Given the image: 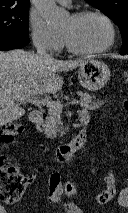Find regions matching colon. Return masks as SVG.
Returning <instances> with one entry per match:
<instances>
[{"mask_svg":"<svg viewBox=\"0 0 128 213\" xmlns=\"http://www.w3.org/2000/svg\"><path fill=\"white\" fill-rule=\"evenodd\" d=\"M125 82L128 84V71L124 73ZM124 108L128 110V99L124 101ZM23 125L19 123H7L0 129V144H11L15 137L22 133ZM105 186L98 193L96 200L99 204L109 203L116 195V180L112 171H109L104 178ZM27 178L7 159L0 155V203L7 204L19 201L25 191ZM64 193L67 198H73L77 193L74 183H66ZM119 203L128 207V186L119 193Z\"/></svg>","mask_w":128,"mask_h":213,"instance_id":"obj_1","label":"colon"}]
</instances>
